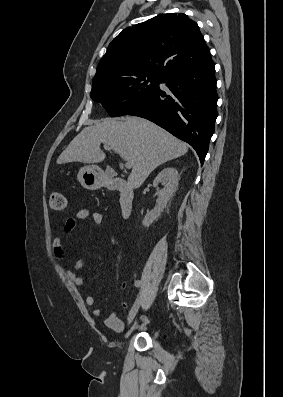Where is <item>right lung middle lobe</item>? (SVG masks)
I'll list each match as a JSON object with an SVG mask.
<instances>
[{
	"mask_svg": "<svg viewBox=\"0 0 283 397\" xmlns=\"http://www.w3.org/2000/svg\"><path fill=\"white\" fill-rule=\"evenodd\" d=\"M163 80L152 76L93 82L91 98L102 104L111 117L127 114L159 90Z\"/></svg>",
	"mask_w": 283,
	"mask_h": 397,
	"instance_id": "1",
	"label": "right lung middle lobe"
}]
</instances>
